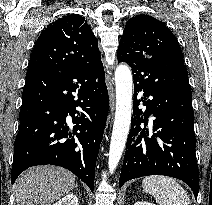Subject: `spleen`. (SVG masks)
Returning <instances> with one entry per match:
<instances>
[{
	"mask_svg": "<svg viewBox=\"0 0 212 205\" xmlns=\"http://www.w3.org/2000/svg\"><path fill=\"white\" fill-rule=\"evenodd\" d=\"M142 186L159 205H191L187 192L172 177L147 176L143 179Z\"/></svg>",
	"mask_w": 212,
	"mask_h": 205,
	"instance_id": "1",
	"label": "spleen"
}]
</instances>
